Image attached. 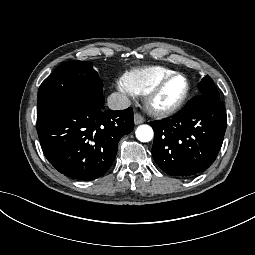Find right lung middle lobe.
<instances>
[{"label":"right lung middle lobe","instance_id":"dd1d6c3e","mask_svg":"<svg viewBox=\"0 0 255 255\" xmlns=\"http://www.w3.org/2000/svg\"><path fill=\"white\" fill-rule=\"evenodd\" d=\"M66 96H80L103 106V83L92 64L72 60L59 65L39 87L37 111Z\"/></svg>","mask_w":255,"mask_h":255}]
</instances>
